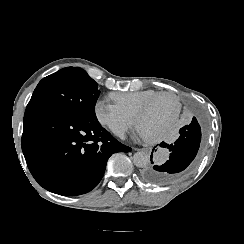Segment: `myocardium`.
Instances as JSON below:
<instances>
[{"label": "myocardium", "mask_w": 244, "mask_h": 244, "mask_svg": "<svg viewBox=\"0 0 244 244\" xmlns=\"http://www.w3.org/2000/svg\"><path fill=\"white\" fill-rule=\"evenodd\" d=\"M123 94V93H122ZM165 97H171V98H174L177 102V109L174 111V113L165 121V127L167 125H170L174 122V120L176 119L177 115L179 114L180 112V109H181V99L180 97L175 94V93H172V92H163L161 93L160 95H156L154 98H150L147 102H145L143 105H142V108L140 110V113H139V123L140 124H143L144 122V115L148 112V109L150 107H152L159 99H164Z\"/></svg>", "instance_id": "obj_1"}]
</instances>
